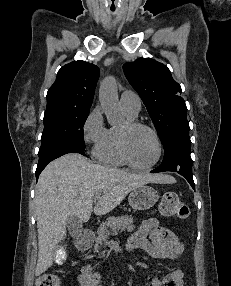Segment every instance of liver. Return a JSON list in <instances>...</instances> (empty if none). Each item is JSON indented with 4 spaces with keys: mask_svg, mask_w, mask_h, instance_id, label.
<instances>
[{
    "mask_svg": "<svg viewBox=\"0 0 231 286\" xmlns=\"http://www.w3.org/2000/svg\"><path fill=\"white\" fill-rule=\"evenodd\" d=\"M162 174H131L92 164L77 153L49 163L38 179L35 190V217L38 231V260L35 275L40 276L53 264L54 251L65 239L66 220L76 216L89 220L91 213L104 215L117 207L133 189L146 183H174ZM99 196L93 208V199Z\"/></svg>",
    "mask_w": 231,
    "mask_h": 286,
    "instance_id": "1",
    "label": "liver"
}]
</instances>
